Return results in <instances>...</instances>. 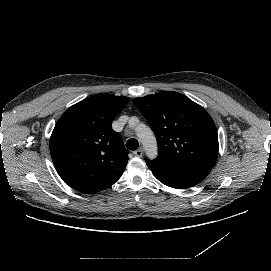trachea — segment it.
I'll use <instances>...</instances> for the list:
<instances>
[{
    "instance_id": "trachea-1",
    "label": "trachea",
    "mask_w": 271,
    "mask_h": 271,
    "mask_svg": "<svg viewBox=\"0 0 271 271\" xmlns=\"http://www.w3.org/2000/svg\"><path fill=\"white\" fill-rule=\"evenodd\" d=\"M126 147L130 150H137L139 147V143L137 139L131 138L126 142Z\"/></svg>"
}]
</instances>
